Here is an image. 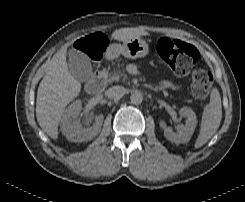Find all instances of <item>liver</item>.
Listing matches in <instances>:
<instances>
[{
    "instance_id": "1",
    "label": "liver",
    "mask_w": 245,
    "mask_h": 202,
    "mask_svg": "<svg viewBox=\"0 0 245 202\" xmlns=\"http://www.w3.org/2000/svg\"><path fill=\"white\" fill-rule=\"evenodd\" d=\"M145 35L148 32L139 28H122L115 30L111 36L115 40L126 41ZM80 91V81L69 72L64 51L43 77L37 91L36 118L51 138H58V125L65 108Z\"/></svg>"
}]
</instances>
